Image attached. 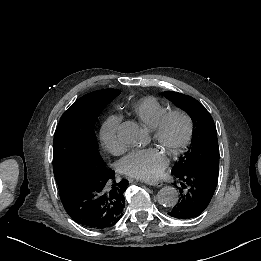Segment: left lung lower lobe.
I'll return each instance as SVG.
<instances>
[{
	"instance_id": "obj_1",
	"label": "left lung lower lobe",
	"mask_w": 261,
	"mask_h": 261,
	"mask_svg": "<svg viewBox=\"0 0 261 261\" xmlns=\"http://www.w3.org/2000/svg\"><path fill=\"white\" fill-rule=\"evenodd\" d=\"M179 184L178 203L168 215L177 219H190L199 216L208 206L215 192L218 175L189 169L183 172H173Z\"/></svg>"
}]
</instances>
